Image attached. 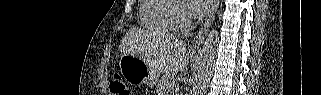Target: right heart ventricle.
Returning <instances> with one entry per match:
<instances>
[{
  "label": "right heart ventricle",
  "instance_id": "1",
  "mask_svg": "<svg viewBox=\"0 0 321 95\" xmlns=\"http://www.w3.org/2000/svg\"><path fill=\"white\" fill-rule=\"evenodd\" d=\"M174 0H143L140 6L142 24L150 31L168 34L174 31L170 21V12Z\"/></svg>",
  "mask_w": 321,
  "mask_h": 95
}]
</instances>
